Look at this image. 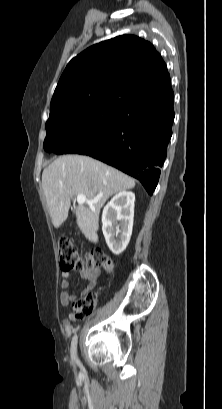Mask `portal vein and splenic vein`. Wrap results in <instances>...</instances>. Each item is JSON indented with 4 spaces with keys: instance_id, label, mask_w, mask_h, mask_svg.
<instances>
[{
    "instance_id": "portal-vein-and-splenic-vein-1",
    "label": "portal vein and splenic vein",
    "mask_w": 222,
    "mask_h": 409,
    "mask_svg": "<svg viewBox=\"0 0 222 409\" xmlns=\"http://www.w3.org/2000/svg\"><path fill=\"white\" fill-rule=\"evenodd\" d=\"M77 202H78L79 204L87 203L88 205H92L93 203L96 202V200H89V199L86 198L85 195H83V194H78V195H77Z\"/></svg>"
}]
</instances>
